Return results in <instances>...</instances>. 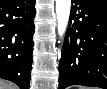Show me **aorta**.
<instances>
[{
	"label": "aorta",
	"instance_id": "1",
	"mask_svg": "<svg viewBox=\"0 0 107 89\" xmlns=\"http://www.w3.org/2000/svg\"><path fill=\"white\" fill-rule=\"evenodd\" d=\"M71 0H56V16L58 34L63 36L69 22Z\"/></svg>",
	"mask_w": 107,
	"mask_h": 89
}]
</instances>
